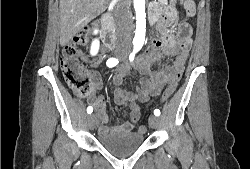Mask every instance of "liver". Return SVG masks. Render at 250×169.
<instances>
[{
    "label": "liver",
    "mask_w": 250,
    "mask_h": 169,
    "mask_svg": "<svg viewBox=\"0 0 250 169\" xmlns=\"http://www.w3.org/2000/svg\"><path fill=\"white\" fill-rule=\"evenodd\" d=\"M109 2L110 0H59L61 44L69 42L80 28L104 12Z\"/></svg>",
    "instance_id": "liver-1"
}]
</instances>
